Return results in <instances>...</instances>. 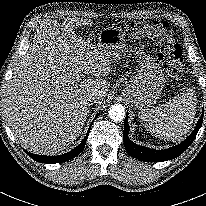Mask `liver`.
I'll use <instances>...</instances> for the list:
<instances>
[{
	"instance_id": "6515ba94",
	"label": "liver",
	"mask_w": 206,
	"mask_h": 206,
	"mask_svg": "<svg viewBox=\"0 0 206 206\" xmlns=\"http://www.w3.org/2000/svg\"><path fill=\"white\" fill-rule=\"evenodd\" d=\"M81 18L43 22L7 86L4 112L18 142L35 154L53 155L80 135L90 112L88 95L104 102L109 54L75 34ZM61 30V31H60ZM95 76L78 80L75 71Z\"/></svg>"
}]
</instances>
